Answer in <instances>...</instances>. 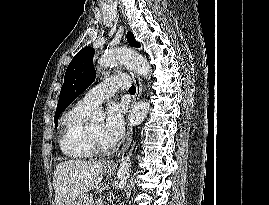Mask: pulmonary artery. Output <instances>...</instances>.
Here are the masks:
<instances>
[{
	"label": "pulmonary artery",
	"instance_id": "obj_1",
	"mask_svg": "<svg viewBox=\"0 0 269 205\" xmlns=\"http://www.w3.org/2000/svg\"><path fill=\"white\" fill-rule=\"evenodd\" d=\"M131 82L132 80L128 75L108 78L88 91L78 102V105L92 111L103 101L111 98L119 88H128Z\"/></svg>",
	"mask_w": 269,
	"mask_h": 205
}]
</instances>
